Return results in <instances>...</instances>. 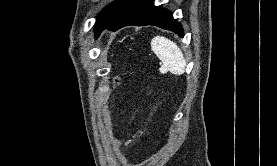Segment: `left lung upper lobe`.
<instances>
[{
    "label": "left lung upper lobe",
    "mask_w": 277,
    "mask_h": 166,
    "mask_svg": "<svg viewBox=\"0 0 277 166\" xmlns=\"http://www.w3.org/2000/svg\"><path fill=\"white\" fill-rule=\"evenodd\" d=\"M135 0H117L109 4L106 8L101 12L97 24H96V36H99L104 26L110 22L115 16H117L122 10L128 7Z\"/></svg>",
    "instance_id": "5c2ea615"
}]
</instances>
